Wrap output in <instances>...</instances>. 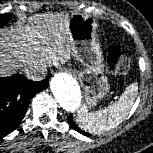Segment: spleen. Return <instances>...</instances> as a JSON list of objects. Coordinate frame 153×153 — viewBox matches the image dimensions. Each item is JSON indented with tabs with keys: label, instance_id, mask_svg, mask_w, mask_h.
I'll return each mask as SVG.
<instances>
[{
	"label": "spleen",
	"instance_id": "spleen-1",
	"mask_svg": "<svg viewBox=\"0 0 153 153\" xmlns=\"http://www.w3.org/2000/svg\"><path fill=\"white\" fill-rule=\"evenodd\" d=\"M137 83H132L121 94L119 100L109 105L103 110L88 112L83 106L76 117L79 126L89 133L101 134L117 127L128 115L134 104Z\"/></svg>",
	"mask_w": 153,
	"mask_h": 153
}]
</instances>
